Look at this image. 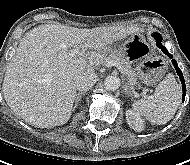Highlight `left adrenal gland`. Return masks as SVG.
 Returning a JSON list of instances; mask_svg holds the SVG:
<instances>
[{
	"label": "left adrenal gland",
	"instance_id": "left-adrenal-gland-1",
	"mask_svg": "<svg viewBox=\"0 0 190 165\" xmlns=\"http://www.w3.org/2000/svg\"><path fill=\"white\" fill-rule=\"evenodd\" d=\"M124 93H125V95H128L129 97H132L131 90H130V87H129L128 84H125V86H124Z\"/></svg>",
	"mask_w": 190,
	"mask_h": 165
}]
</instances>
